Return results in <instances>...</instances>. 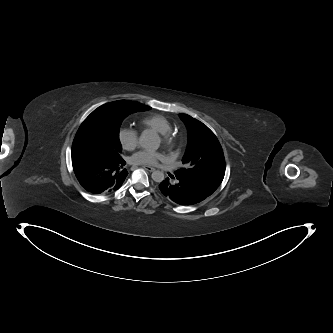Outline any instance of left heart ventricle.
Here are the masks:
<instances>
[{"label":"left heart ventricle","mask_w":333,"mask_h":333,"mask_svg":"<svg viewBox=\"0 0 333 333\" xmlns=\"http://www.w3.org/2000/svg\"><path fill=\"white\" fill-rule=\"evenodd\" d=\"M162 144L161 136H157V139L153 145V149H158Z\"/></svg>","instance_id":"1"}]
</instances>
